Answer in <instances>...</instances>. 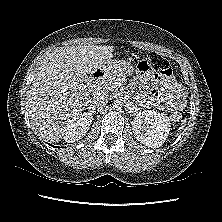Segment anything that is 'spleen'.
I'll use <instances>...</instances> for the list:
<instances>
[{
    "mask_svg": "<svg viewBox=\"0 0 222 222\" xmlns=\"http://www.w3.org/2000/svg\"><path fill=\"white\" fill-rule=\"evenodd\" d=\"M179 130L181 131V130H182V127H181V128H179Z\"/></svg>",
    "mask_w": 222,
    "mask_h": 222,
    "instance_id": "obj_1",
    "label": "spleen"
}]
</instances>
